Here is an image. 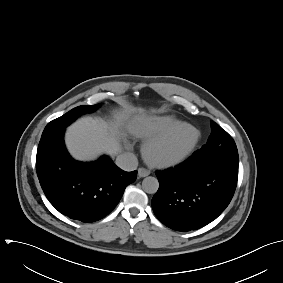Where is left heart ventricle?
I'll use <instances>...</instances> for the list:
<instances>
[{
	"instance_id": "obj_1",
	"label": "left heart ventricle",
	"mask_w": 283,
	"mask_h": 283,
	"mask_svg": "<svg viewBox=\"0 0 283 283\" xmlns=\"http://www.w3.org/2000/svg\"><path fill=\"white\" fill-rule=\"evenodd\" d=\"M193 133L184 129L178 133L174 139L164 147L163 153L167 155H174L185 148L192 140Z\"/></svg>"
}]
</instances>
